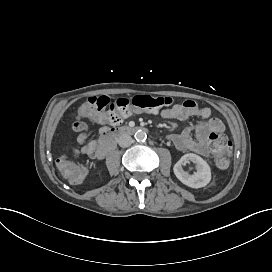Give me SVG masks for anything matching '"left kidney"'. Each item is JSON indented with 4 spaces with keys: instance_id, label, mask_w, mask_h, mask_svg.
Returning a JSON list of instances; mask_svg holds the SVG:
<instances>
[{
    "instance_id": "obj_1",
    "label": "left kidney",
    "mask_w": 272,
    "mask_h": 272,
    "mask_svg": "<svg viewBox=\"0 0 272 272\" xmlns=\"http://www.w3.org/2000/svg\"><path fill=\"white\" fill-rule=\"evenodd\" d=\"M190 162L194 164V174L184 170L186 163ZM174 173L181 182L193 188L207 185L211 178L209 165L200 156L191 153L185 154L176 162Z\"/></svg>"
}]
</instances>
